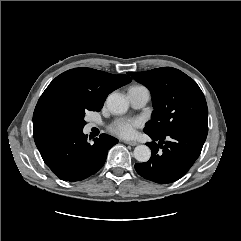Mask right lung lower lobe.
Instances as JSON below:
<instances>
[{
	"label": "right lung lower lobe",
	"mask_w": 241,
	"mask_h": 241,
	"mask_svg": "<svg viewBox=\"0 0 241 241\" xmlns=\"http://www.w3.org/2000/svg\"><path fill=\"white\" fill-rule=\"evenodd\" d=\"M35 144L46 165L64 181H81L105 163L108 150L118 140L106 134L87 142L83 129L61 128L34 133Z\"/></svg>",
	"instance_id": "98d812e1"
}]
</instances>
